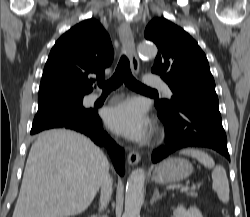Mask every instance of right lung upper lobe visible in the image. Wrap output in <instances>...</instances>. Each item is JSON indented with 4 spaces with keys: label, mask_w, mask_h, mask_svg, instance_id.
Here are the masks:
<instances>
[{
    "label": "right lung upper lobe",
    "mask_w": 250,
    "mask_h": 217,
    "mask_svg": "<svg viewBox=\"0 0 250 217\" xmlns=\"http://www.w3.org/2000/svg\"><path fill=\"white\" fill-rule=\"evenodd\" d=\"M113 55L110 37L97 20L88 19L72 27L49 54L40 83L38 108L89 94L93 90L89 76L104 78Z\"/></svg>",
    "instance_id": "cb5924a9"
}]
</instances>
